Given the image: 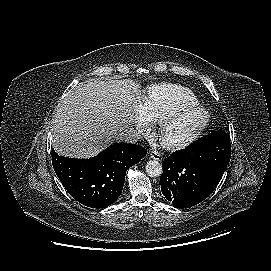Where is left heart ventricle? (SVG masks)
<instances>
[{
	"label": "left heart ventricle",
	"instance_id": "1",
	"mask_svg": "<svg viewBox=\"0 0 271 271\" xmlns=\"http://www.w3.org/2000/svg\"><path fill=\"white\" fill-rule=\"evenodd\" d=\"M200 113H192L176 120L168 129L167 137L177 140L187 136L201 120Z\"/></svg>",
	"mask_w": 271,
	"mask_h": 271
}]
</instances>
